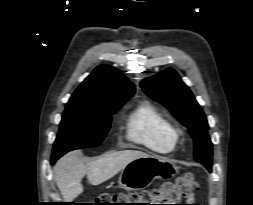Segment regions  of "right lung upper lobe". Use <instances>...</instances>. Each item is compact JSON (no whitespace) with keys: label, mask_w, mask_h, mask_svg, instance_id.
Here are the masks:
<instances>
[{"label":"right lung upper lobe","mask_w":253,"mask_h":205,"mask_svg":"<svg viewBox=\"0 0 253 205\" xmlns=\"http://www.w3.org/2000/svg\"><path fill=\"white\" fill-rule=\"evenodd\" d=\"M134 91V85L120 71L101 65L76 89L66 107L98 109L108 102L130 98Z\"/></svg>","instance_id":"obj_1"}]
</instances>
